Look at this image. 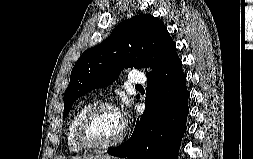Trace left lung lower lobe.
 Segmentation results:
<instances>
[{
	"label": "left lung lower lobe",
	"instance_id": "left-lung-lower-lobe-1",
	"mask_svg": "<svg viewBox=\"0 0 253 159\" xmlns=\"http://www.w3.org/2000/svg\"><path fill=\"white\" fill-rule=\"evenodd\" d=\"M147 81L145 111L132 136L108 153L128 159H178L189 113V93L177 53Z\"/></svg>",
	"mask_w": 253,
	"mask_h": 159
}]
</instances>
